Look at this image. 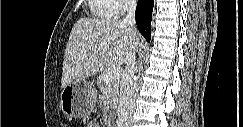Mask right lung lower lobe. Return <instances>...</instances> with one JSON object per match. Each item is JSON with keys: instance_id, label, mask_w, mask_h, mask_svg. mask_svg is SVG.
<instances>
[{"instance_id": "obj_1", "label": "right lung lower lobe", "mask_w": 243, "mask_h": 127, "mask_svg": "<svg viewBox=\"0 0 243 127\" xmlns=\"http://www.w3.org/2000/svg\"><path fill=\"white\" fill-rule=\"evenodd\" d=\"M154 0H139L136 7V24L140 33L150 42Z\"/></svg>"}]
</instances>
